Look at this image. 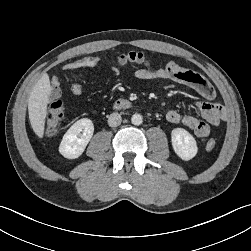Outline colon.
Returning a JSON list of instances; mask_svg holds the SVG:
<instances>
[{
  "mask_svg": "<svg viewBox=\"0 0 251 251\" xmlns=\"http://www.w3.org/2000/svg\"><path fill=\"white\" fill-rule=\"evenodd\" d=\"M120 63H146V57L142 52L132 51L125 53L119 57ZM65 115V107L61 100H55L47 114L44 133L46 137H53L57 134L62 124ZM216 146V141L214 139H209L206 142V149L212 150Z\"/></svg>",
  "mask_w": 251,
  "mask_h": 251,
  "instance_id": "5ec220e1",
  "label": "colon"
}]
</instances>
